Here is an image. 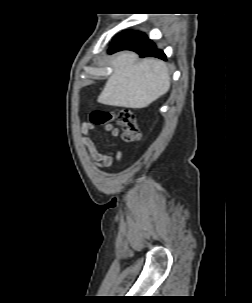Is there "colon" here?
<instances>
[{
  "label": "colon",
  "mask_w": 252,
  "mask_h": 303,
  "mask_svg": "<svg viewBox=\"0 0 252 303\" xmlns=\"http://www.w3.org/2000/svg\"><path fill=\"white\" fill-rule=\"evenodd\" d=\"M115 121L122 128L123 139L127 142L137 140L139 127L135 114L130 110H121L117 113L97 109L90 114V122L94 125H106Z\"/></svg>",
  "instance_id": "1"
}]
</instances>
